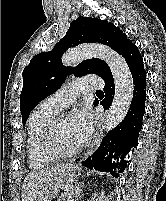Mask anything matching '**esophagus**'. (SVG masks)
Returning <instances> with one entry per match:
<instances>
[{
	"mask_svg": "<svg viewBox=\"0 0 166 201\" xmlns=\"http://www.w3.org/2000/svg\"><path fill=\"white\" fill-rule=\"evenodd\" d=\"M103 138V131L101 129V123L98 125L94 139L90 145V148L87 150V152L83 155V159L88 158L91 154L95 152V150L99 147L101 141Z\"/></svg>",
	"mask_w": 166,
	"mask_h": 201,
	"instance_id": "esophagus-1",
	"label": "esophagus"
}]
</instances>
